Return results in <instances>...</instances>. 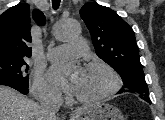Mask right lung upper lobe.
I'll use <instances>...</instances> for the list:
<instances>
[{"instance_id":"right-lung-upper-lobe-1","label":"right lung upper lobe","mask_w":165,"mask_h":120,"mask_svg":"<svg viewBox=\"0 0 165 120\" xmlns=\"http://www.w3.org/2000/svg\"><path fill=\"white\" fill-rule=\"evenodd\" d=\"M32 17L38 25H44L45 16L34 10ZM30 6L26 3L9 8L0 16V59L31 56Z\"/></svg>"}]
</instances>
